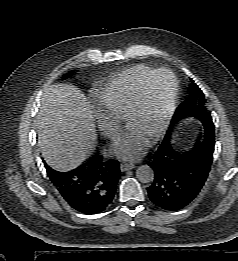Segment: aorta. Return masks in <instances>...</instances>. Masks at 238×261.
Masks as SVG:
<instances>
[{"label":"aorta","mask_w":238,"mask_h":261,"mask_svg":"<svg viewBox=\"0 0 238 261\" xmlns=\"http://www.w3.org/2000/svg\"><path fill=\"white\" fill-rule=\"evenodd\" d=\"M136 176L142 183H149L154 180V171L149 165H141L137 168Z\"/></svg>","instance_id":"aorta-1"}]
</instances>
